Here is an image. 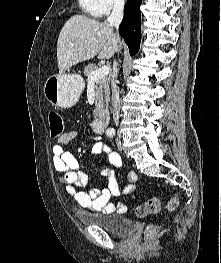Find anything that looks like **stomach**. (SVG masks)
Instances as JSON below:
<instances>
[{
    "label": "stomach",
    "mask_w": 221,
    "mask_h": 263,
    "mask_svg": "<svg viewBox=\"0 0 221 263\" xmlns=\"http://www.w3.org/2000/svg\"><path fill=\"white\" fill-rule=\"evenodd\" d=\"M84 86L79 74L52 75L45 82L44 95L52 105L68 109L78 102Z\"/></svg>",
    "instance_id": "1"
}]
</instances>
